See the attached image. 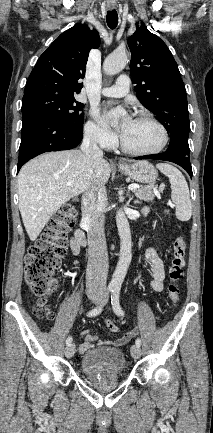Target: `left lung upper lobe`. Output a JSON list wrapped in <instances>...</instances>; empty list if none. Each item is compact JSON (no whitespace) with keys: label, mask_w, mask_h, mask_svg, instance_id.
<instances>
[{"label":"left lung upper lobe","mask_w":213,"mask_h":433,"mask_svg":"<svg viewBox=\"0 0 213 433\" xmlns=\"http://www.w3.org/2000/svg\"><path fill=\"white\" fill-rule=\"evenodd\" d=\"M128 46L136 96L170 133L169 146L189 149L186 90L169 48L145 27H137Z\"/></svg>","instance_id":"obj_1"}]
</instances>
